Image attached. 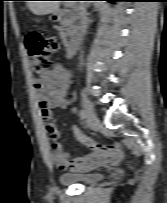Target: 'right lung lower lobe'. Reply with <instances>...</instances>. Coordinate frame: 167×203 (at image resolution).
Instances as JSON below:
<instances>
[{
    "mask_svg": "<svg viewBox=\"0 0 167 203\" xmlns=\"http://www.w3.org/2000/svg\"><path fill=\"white\" fill-rule=\"evenodd\" d=\"M106 1L114 2V1H123V0H106Z\"/></svg>",
    "mask_w": 167,
    "mask_h": 203,
    "instance_id": "obj_1",
    "label": "right lung lower lobe"
}]
</instances>
